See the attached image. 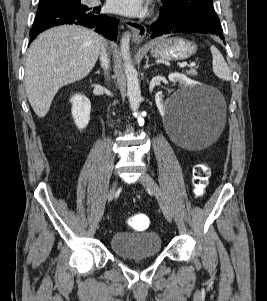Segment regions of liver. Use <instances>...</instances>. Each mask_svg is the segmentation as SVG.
Instances as JSON below:
<instances>
[{
    "instance_id": "1",
    "label": "liver",
    "mask_w": 267,
    "mask_h": 301,
    "mask_svg": "<svg viewBox=\"0 0 267 301\" xmlns=\"http://www.w3.org/2000/svg\"><path fill=\"white\" fill-rule=\"evenodd\" d=\"M102 37L76 25L53 27L31 44L24 85L31 107L40 118L48 113L58 90L85 78L93 69Z\"/></svg>"
}]
</instances>
